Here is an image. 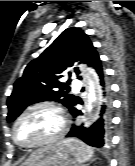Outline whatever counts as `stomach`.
I'll return each mask as SVG.
<instances>
[{
	"mask_svg": "<svg viewBox=\"0 0 135 166\" xmlns=\"http://www.w3.org/2000/svg\"><path fill=\"white\" fill-rule=\"evenodd\" d=\"M76 163L75 151L59 142L36 150L22 166H77Z\"/></svg>",
	"mask_w": 135,
	"mask_h": 166,
	"instance_id": "stomach-1",
	"label": "stomach"
}]
</instances>
